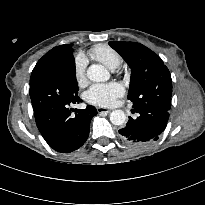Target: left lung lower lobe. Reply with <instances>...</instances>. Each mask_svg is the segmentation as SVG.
Wrapping results in <instances>:
<instances>
[{"label":"left lung lower lobe","instance_id":"0a47b994","mask_svg":"<svg viewBox=\"0 0 205 205\" xmlns=\"http://www.w3.org/2000/svg\"><path fill=\"white\" fill-rule=\"evenodd\" d=\"M136 119L129 117L126 126L119 130L121 139L129 144L142 146L156 141L166 128L169 111L159 108L134 109Z\"/></svg>","mask_w":205,"mask_h":205}]
</instances>
